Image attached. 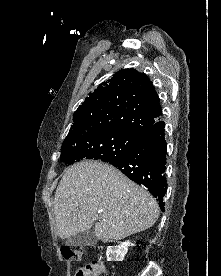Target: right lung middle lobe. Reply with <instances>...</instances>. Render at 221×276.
I'll list each match as a JSON object with an SVG mask.
<instances>
[{
  "mask_svg": "<svg viewBox=\"0 0 221 276\" xmlns=\"http://www.w3.org/2000/svg\"><path fill=\"white\" fill-rule=\"evenodd\" d=\"M139 141L140 137L123 132L97 134L80 140L66 141L61 147L60 160L68 165L86 159L108 162L130 152Z\"/></svg>",
  "mask_w": 221,
  "mask_h": 276,
  "instance_id": "obj_1",
  "label": "right lung middle lobe"
}]
</instances>
